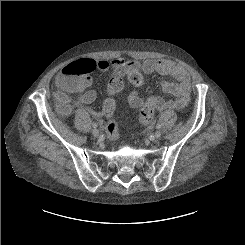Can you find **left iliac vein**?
<instances>
[{"label":"left iliac vein","mask_w":245,"mask_h":245,"mask_svg":"<svg viewBox=\"0 0 245 245\" xmlns=\"http://www.w3.org/2000/svg\"><path fill=\"white\" fill-rule=\"evenodd\" d=\"M161 135H162L161 131H156L154 134V138L159 139L161 137Z\"/></svg>","instance_id":"left-iliac-vein-1"}]
</instances>
